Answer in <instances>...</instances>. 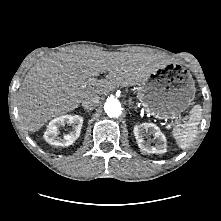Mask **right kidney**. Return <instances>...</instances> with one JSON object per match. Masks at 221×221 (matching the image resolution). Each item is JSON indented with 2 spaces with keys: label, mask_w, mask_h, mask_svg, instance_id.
<instances>
[{
  "label": "right kidney",
  "mask_w": 221,
  "mask_h": 221,
  "mask_svg": "<svg viewBox=\"0 0 221 221\" xmlns=\"http://www.w3.org/2000/svg\"><path fill=\"white\" fill-rule=\"evenodd\" d=\"M65 123L72 125V131L69 134L59 137V130ZM83 125V117L80 115H62L52 119L47 125L44 133L45 140L54 146H70L80 136Z\"/></svg>",
  "instance_id": "1"
}]
</instances>
